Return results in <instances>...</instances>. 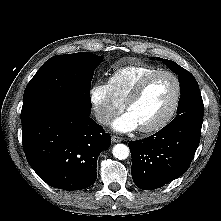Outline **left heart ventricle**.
<instances>
[{"label": "left heart ventricle", "mask_w": 221, "mask_h": 221, "mask_svg": "<svg viewBox=\"0 0 221 221\" xmlns=\"http://www.w3.org/2000/svg\"><path fill=\"white\" fill-rule=\"evenodd\" d=\"M175 95V83L167 75L153 78L141 96L130 105L128 112L138 127H145L160 120L169 110Z\"/></svg>", "instance_id": "1"}]
</instances>
